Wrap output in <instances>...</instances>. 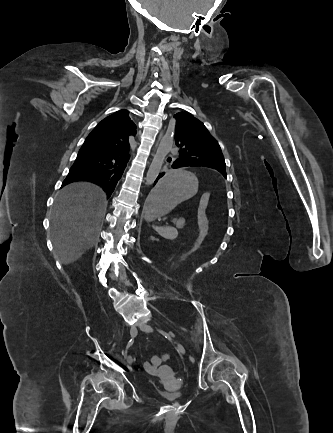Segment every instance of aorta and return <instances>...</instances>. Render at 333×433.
Instances as JSON below:
<instances>
[{"instance_id":"obj_1","label":"aorta","mask_w":333,"mask_h":433,"mask_svg":"<svg viewBox=\"0 0 333 433\" xmlns=\"http://www.w3.org/2000/svg\"><path fill=\"white\" fill-rule=\"evenodd\" d=\"M171 149H172V138L170 136H164L160 141L156 154L154 155L152 163L149 167L147 177H146L147 185L153 184V182L156 180L160 172V169L164 163V160Z\"/></svg>"}]
</instances>
